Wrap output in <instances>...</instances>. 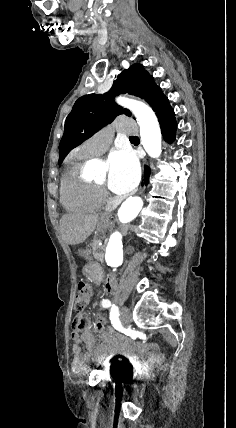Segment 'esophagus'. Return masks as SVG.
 <instances>
[{
  "label": "esophagus",
  "mask_w": 236,
  "mask_h": 428,
  "mask_svg": "<svg viewBox=\"0 0 236 428\" xmlns=\"http://www.w3.org/2000/svg\"><path fill=\"white\" fill-rule=\"evenodd\" d=\"M139 193H143V189L141 188V190L139 191Z\"/></svg>",
  "instance_id": "obj_1"
}]
</instances>
